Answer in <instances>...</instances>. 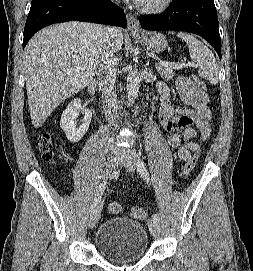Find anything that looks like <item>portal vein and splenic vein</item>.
Instances as JSON below:
<instances>
[{
  "mask_svg": "<svg viewBox=\"0 0 253 271\" xmlns=\"http://www.w3.org/2000/svg\"><path fill=\"white\" fill-rule=\"evenodd\" d=\"M159 65L170 67L173 69H181V68L187 66V64H185V63H170V62H164V61H160Z\"/></svg>",
  "mask_w": 253,
  "mask_h": 271,
  "instance_id": "portal-vein-and-splenic-vein-1",
  "label": "portal vein and splenic vein"
}]
</instances>
